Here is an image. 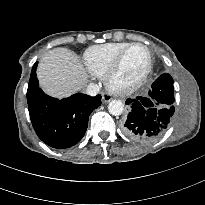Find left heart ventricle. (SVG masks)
Segmentation results:
<instances>
[{
  "mask_svg": "<svg viewBox=\"0 0 205 205\" xmlns=\"http://www.w3.org/2000/svg\"><path fill=\"white\" fill-rule=\"evenodd\" d=\"M147 63V51L140 46L132 48L122 62L116 81L122 84L134 81L146 68Z\"/></svg>",
  "mask_w": 205,
  "mask_h": 205,
  "instance_id": "b2bd125f",
  "label": "left heart ventricle"
}]
</instances>
